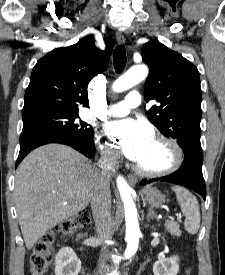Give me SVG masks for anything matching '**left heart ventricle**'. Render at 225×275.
I'll return each mask as SVG.
<instances>
[{
  "instance_id": "obj_1",
  "label": "left heart ventricle",
  "mask_w": 225,
  "mask_h": 275,
  "mask_svg": "<svg viewBox=\"0 0 225 275\" xmlns=\"http://www.w3.org/2000/svg\"><path fill=\"white\" fill-rule=\"evenodd\" d=\"M171 154L168 147L153 139L142 158L137 164L147 170H160L169 165Z\"/></svg>"
}]
</instances>
